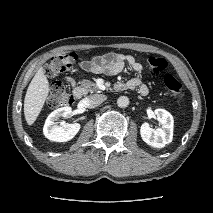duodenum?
<instances>
[{
	"label": "duodenum",
	"instance_id": "obj_1",
	"mask_svg": "<svg viewBox=\"0 0 213 213\" xmlns=\"http://www.w3.org/2000/svg\"><path fill=\"white\" fill-rule=\"evenodd\" d=\"M121 87H124V86H121ZM73 95H74L75 99H81L83 94H82V91L79 88H75L74 91H73Z\"/></svg>",
	"mask_w": 213,
	"mask_h": 213
}]
</instances>
